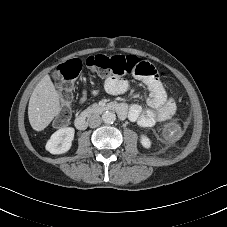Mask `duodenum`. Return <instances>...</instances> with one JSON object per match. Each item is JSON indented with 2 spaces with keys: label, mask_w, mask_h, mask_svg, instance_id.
Here are the masks:
<instances>
[{
  "label": "duodenum",
  "mask_w": 227,
  "mask_h": 227,
  "mask_svg": "<svg viewBox=\"0 0 227 227\" xmlns=\"http://www.w3.org/2000/svg\"><path fill=\"white\" fill-rule=\"evenodd\" d=\"M106 111H114L118 114V116L122 119L126 118L127 116V108L123 104L119 103H106L103 105L98 106L95 109H92L86 113L79 115L75 119V126L78 130H84L87 128L90 120V115L93 112H106Z\"/></svg>",
  "instance_id": "410a0bca"
}]
</instances>
